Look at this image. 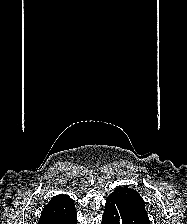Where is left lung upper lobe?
<instances>
[{
  "label": "left lung upper lobe",
  "mask_w": 187,
  "mask_h": 224,
  "mask_svg": "<svg viewBox=\"0 0 187 224\" xmlns=\"http://www.w3.org/2000/svg\"><path fill=\"white\" fill-rule=\"evenodd\" d=\"M118 189L126 194V196L131 200L135 207H137L140 211L146 213L145 202L135 190L128 188L127 186L119 187Z\"/></svg>",
  "instance_id": "1"
}]
</instances>
